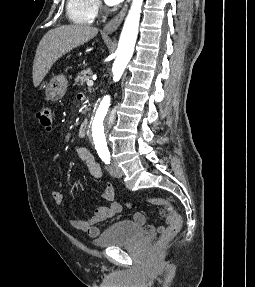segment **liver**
Wrapping results in <instances>:
<instances>
[{"mask_svg": "<svg viewBox=\"0 0 255 287\" xmlns=\"http://www.w3.org/2000/svg\"><path fill=\"white\" fill-rule=\"evenodd\" d=\"M98 34V28L91 26H61L49 30L43 36L35 54L33 64V84L39 86L53 64L73 48L83 46Z\"/></svg>", "mask_w": 255, "mask_h": 287, "instance_id": "liver-1", "label": "liver"}]
</instances>
